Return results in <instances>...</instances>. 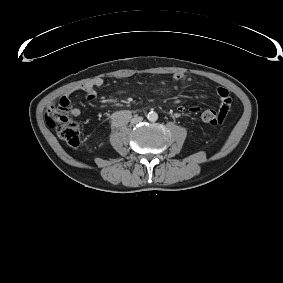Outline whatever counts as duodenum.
<instances>
[{
  "label": "duodenum",
  "instance_id": "obj_1",
  "mask_svg": "<svg viewBox=\"0 0 283 283\" xmlns=\"http://www.w3.org/2000/svg\"><path fill=\"white\" fill-rule=\"evenodd\" d=\"M121 115L124 117V120H128L132 114L130 112L123 111Z\"/></svg>",
  "mask_w": 283,
  "mask_h": 283
}]
</instances>
